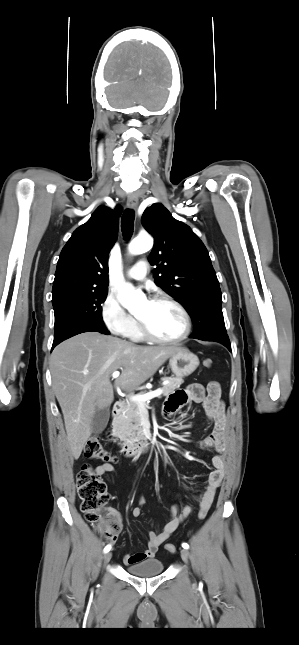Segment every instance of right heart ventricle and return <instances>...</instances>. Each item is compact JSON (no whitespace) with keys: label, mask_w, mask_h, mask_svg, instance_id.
Masks as SVG:
<instances>
[{"label":"right heart ventricle","mask_w":299,"mask_h":645,"mask_svg":"<svg viewBox=\"0 0 299 645\" xmlns=\"http://www.w3.org/2000/svg\"><path fill=\"white\" fill-rule=\"evenodd\" d=\"M127 336L134 341H141L144 339V337L140 333V330L136 321L133 327L131 328V330L128 332Z\"/></svg>","instance_id":"right-heart-ventricle-1"}]
</instances>
